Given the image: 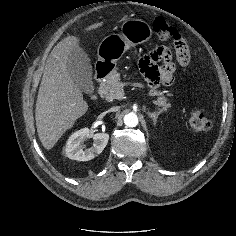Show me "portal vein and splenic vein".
<instances>
[{
  "label": "portal vein and splenic vein",
  "mask_w": 236,
  "mask_h": 236,
  "mask_svg": "<svg viewBox=\"0 0 236 236\" xmlns=\"http://www.w3.org/2000/svg\"><path fill=\"white\" fill-rule=\"evenodd\" d=\"M120 85L123 87L125 84H124V83H121Z\"/></svg>",
  "instance_id": "1"
}]
</instances>
